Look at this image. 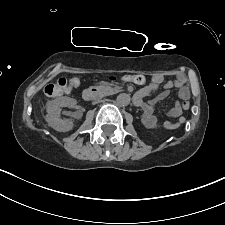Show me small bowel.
<instances>
[{
  "mask_svg": "<svg viewBox=\"0 0 225 225\" xmlns=\"http://www.w3.org/2000/svg\"><path fill=\"white\" fill-rule=\"evenodd\" d=\"M162 83L163 77L161 75H155L152 79V82L148 86L143 87L136 93V103L143 109L142 120L146 127L151 129H175L185 120L182 116V109L180 108L179 103H177L175 107L168 113L170 117L176 119L175 121L159 122L154 115V106L157 101L166 98L173 88L178 90L180 99H188L190 92L187 85V80L182 75L177 76L173 80H169L163 85L162 92L154 100L145 102L144 99L155 92L162 85Z\"/></svg>",
  "mask_w": 225,
  "mask_h": 225,
  "instance_id": "small-bowel-1",
  "label": "small bowel"
}]
</instances>
